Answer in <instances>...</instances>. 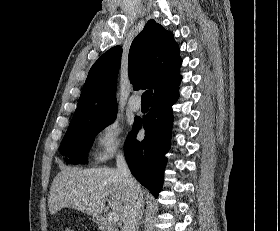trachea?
I'll return each instance as SVG.
<instances>
[{"instance_id": "obj_1", "label": "trachea", "mask_w": 280, "mask_h": 231, "mask_svg": "<svg viewBox=\"0 0 280 231\" xmlns=\"http://www.w3.org/2000/svg\"><path fill=\"white\" fill-rule=\"evenodd\" d=\"M151 98H152V90L145 91L142 94V98H141L142 105L149 106L151 102Z\"/></svg>"}]
</instances>
